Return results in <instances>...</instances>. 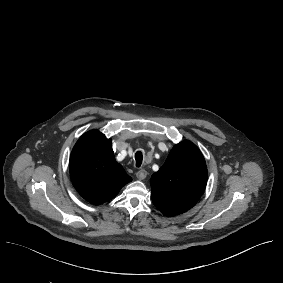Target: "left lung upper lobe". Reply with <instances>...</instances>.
<instances>
[{
    "label": "left lung upper lobe",
    "mask_w": 283,
    "mask_h": 283,
    "mask_svg": "<svg viewBox=\"0 0 283 283\" xmlns=\"http://www.w3.org/2000/svg\"><path fill=\"white\" fill-rule=\"evenodd\" d=\"M200 150L185 140L176 144L164 165L150 179L152 202L166 216L179 215L200 199L207 184Z\"/></svg>",
    "instance_id": "left-lung-upper-lobe-1"
}]
</instances>
